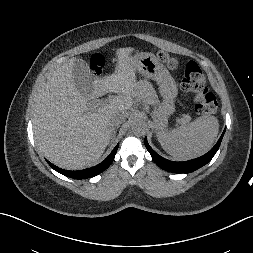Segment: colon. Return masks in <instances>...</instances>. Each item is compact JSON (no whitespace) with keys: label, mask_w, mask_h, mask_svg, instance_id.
Segmentation results:
<instances>
[{"label":"colon","mask_w":253,"mask_h":253,"mask_svg":"<svg viewBox=\"0 0 253 253\" xmlns=\"http://www.w3.org/2000/svg\"><path fill=\"white\" fill-rule=\"evenodd\" d=\"M158 59L169 69L179 68L178 60L164 51L157 53ZM105 65L102 56L97 55L91 59L92 69L100 72ZM206 80L200 66L194 62H188L184 69L181 86L183 90L194 93V109L199 115L214 114L218 109L216 96L208 90Z\"/></svg>","instance_id":"5ec220e1"}]
</instances>
